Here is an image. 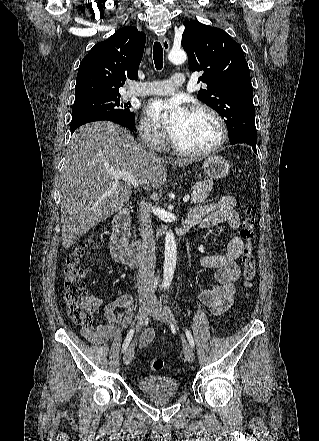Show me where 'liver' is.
<instances>
[{
    "mask_svg": "<svg viewBox=\"0 0 319 441\" xmlns=\"http://www.w3.org/2000/svg\"><path fill=\"white\" fill-rule=\"evenodd\" d=\"M193 159L169 160L186 166ZM163 158L149 153L125 128L97 121L71 137L60 175L62 244L65 249L91 228L118 212L130 199L132 184L119 183L110 170L127 171L137 186L160 188L166 181Z\"/></svg>",
    "mask_w": 319,
    "mask_h": 441,
    "instance_id": "obj_1",
    "label": "liver"
}]
</instances>
